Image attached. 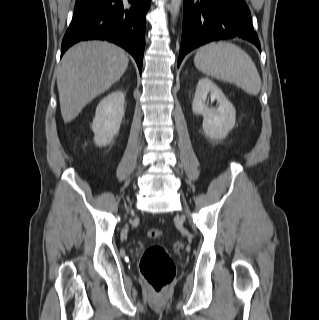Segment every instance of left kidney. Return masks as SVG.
I'll return each mask as SVG.
<instances>
[{"label": "left kidney", "instance_id": "left-kidney-1", "mask_svg": "<svg viewBox=\"0 0 319 320\" xmlns=\"http://www.w3.org/2000/svg\"><path fill=\"white\" fill-rule=\"evenodd\" d=\"M210 93L211 102L217 100L218 107H209L206 99ZM192 110L203 116V131L212 139H223L234 128L236 111L221 89L210 79L199 80L193 100Z\"/></svg>", "mask_w": 319, "mask_h": 320}]
</instances>
